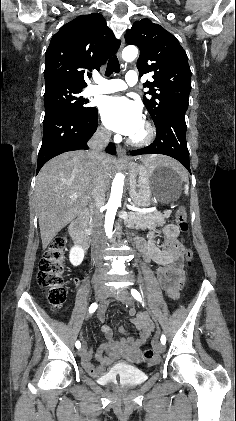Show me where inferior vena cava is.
<instances>
[{
	"mask_svg": "<svg viewBox=\"0 0 236 421\" xmlns=\"http://www.w3.org/2000/svg\"><path fill=\"white\" fill-rule=\"evenodd\" d=\"M111 136V130H106V128H97L94 132L92 138L88 140L87 144L90 146L88 156H90L92 162L97 166L99 160H101L103 148H106L109 138ZM92 208H91V225L93 229L92 241L94 249H103L106 247L105 235L103 231V219L104 215L101 213V208L105 204V188H103L101 182H97L93 188L92 192ZM96 263L98 267H103L102 259L97 255Z\"/></svg>",
	"mask_w": 236,
	"mask_h": 421,
	"instance_id": "inferior-vena-cava-1",
	"label": "inferior vena cava"
}]
</instances>
